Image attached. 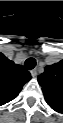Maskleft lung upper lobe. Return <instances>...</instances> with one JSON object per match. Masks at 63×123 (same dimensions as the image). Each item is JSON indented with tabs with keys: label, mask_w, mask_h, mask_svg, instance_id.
Segmentation results:
<instances>
[{
	"label": "left lung upper lobe",
	"mask_w": 63,
	"mask_h": 123,
	"mask_svg": "<svg viewBox=\"0 0 63 123\" xmlns=\"http://www.w3.org/2000/svg\"><path fill=\"white\" fill-rule=\"evenodd\" d=\"M47 104L55 111L63 109V67L60 62L48 65L38 76Z\"/></svg>",
	"instance_id": "obj_1"
}]
</instances>
